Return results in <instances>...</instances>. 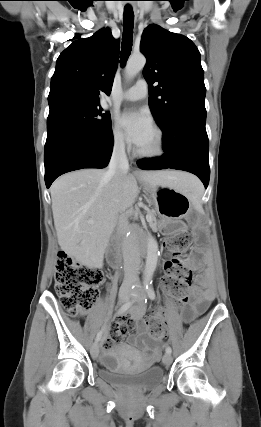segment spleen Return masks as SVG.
<instances>
[{
	"mask_svg": "<svg viewBox=\"0 0 261 427\" xmlns=\"http://www.w3.org/2000/svg\"><path fill=\"white\" fill-rule=\"evenodd\" d=\"M187 192L192 202L195 204L200 203L201 197L203 195V188L197 179L189 181Z\"/></svg>",
	"mask_w": 261,
	"mask_h": 427,
	"instance_id": "1",
	"label": "spleen"
}]
</instances>
